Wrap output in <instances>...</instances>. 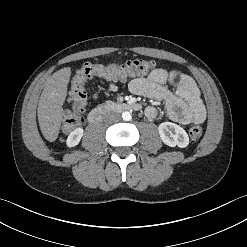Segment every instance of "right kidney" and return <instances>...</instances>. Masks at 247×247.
<instances>
[{
    "label": "right kidney",
    "instance_id": "right-kidney-1",
    "mask_svg": "<svg viewBox=\"0 0 247 247\" xmlns=\"http://www.w3.org/2000/svg\"><path fill=\"white\" fill-rule=\"evenodd\" d=\"M84 130L82 128H77L74 131H72L66 141V144L68 147H74L79 144L82 136H83Z\"/></svg>",
    "mask_w": 247,
    "mask_h": 247
}]
</instances>
